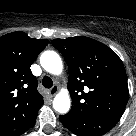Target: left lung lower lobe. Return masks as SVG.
Segmentation results:
<instances>
[{"label":"left lung lower lobe","mask_w":136,"mask_h":136,"mask_svg":"<svg viewBox=\"0 0 136 136\" xmlns=\"http://www.w3.org/2000/svg\"><path fill=\"white\" fill-rule=\"evenodd\" d=\"M62 124L78 136H100L108 132L118 121L114 118L93 116H60Z\"/></svg>","instance_id":"1"}]
</instances>
